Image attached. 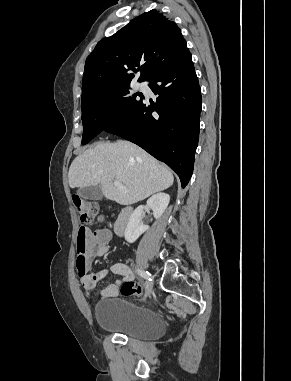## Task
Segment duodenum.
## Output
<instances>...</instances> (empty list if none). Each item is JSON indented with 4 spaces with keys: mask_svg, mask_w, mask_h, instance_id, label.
<instances>
[{
    "mask_svg": "<svg viewBox=\"0 0 291 381\" xmlns=\"http://www.w3.org/2000/svg\"><path fill=\"white\" fill-rule=\"evenodd\" d=\"M131 214L132 207L130 206L120 210L114 223V232L116 235L122 236L125 233Z\"/></svg>",
    "mask_w": 291,
    "mask_h": 381,
    "instance_id": "duodenum-1",
    "label": "duodenum"
}]
</instances>
